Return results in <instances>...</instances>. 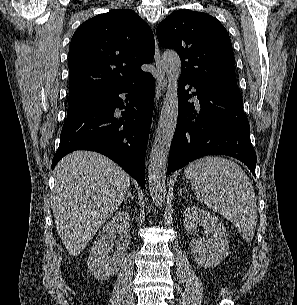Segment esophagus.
Listing matches in <instances>:
<instances>
[{
	"mask_svg": "<svg viewBox=\"0 0 297 305\" xmlns=\"http://www.w3.org/2000/svg\"><path fill=\"white\" fill-rule=\"evenodd\" d=\"M156 69H157V77H156V105L158 106L159 99L164 93V90L166 88V78H165V72L162 65L160 50L158 46V41L155 36V57H154Z\"/></svg>",
	"mask_w": 297,
	"mask_h": 305,
	"instance_id": "1",
	"label": "esophagus"
}]
</instances>
